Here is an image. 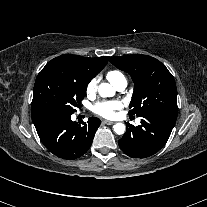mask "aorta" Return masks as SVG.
Listing matches in <instances>:
<instances>
[{"mask_svg": "<svg viewBox=\"0 0 207 207\" xmlns=\"http://www.w3.org/2000/svg\"><path fill=\"white\" fill-rule=\"evenodd\" d=\"M98 93L101 97H112L115 94V90L108 83H102L98 87ZM114 132L121 135L125 132V125L123 123H116L113 126Z\"/></svg>", "mask_w": 207, "mask_h": 207, "instance_id": "1", "label": "aorta"}]
</instances>
